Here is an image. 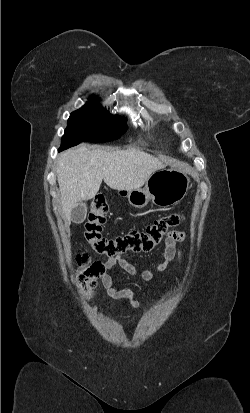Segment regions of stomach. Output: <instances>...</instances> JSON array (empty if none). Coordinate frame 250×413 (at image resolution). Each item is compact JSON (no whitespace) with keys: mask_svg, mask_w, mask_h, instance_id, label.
Listing matches in <instances>:
<instances>
[{"mask_svg":"<svg viewBox=\"0 0 250 413\" xmlns=\"http://www.w3.org/2000/svg\"><path fill=\"white\" fill-rule=\"evenodd\" d=\"M189 177L181 168L162 169L154 172L146 181L144 188L118 190L127 196L130 205L135 208L145 207L149 201L162 208L179 203L189 189Z\"/></svg>","mask_w":250,"mask_h":413,"instance_id":"1","label":"stomach"}]
</instances>
